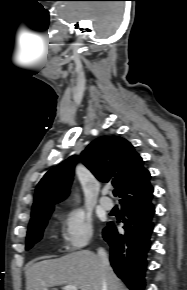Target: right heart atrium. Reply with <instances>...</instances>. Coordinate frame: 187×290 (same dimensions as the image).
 <instances>
[{"instance_id": "d8ad5b80", "label": "right heart atrium", "mask_w": 187, "mask_h": 290, "mask_svg": "<svg viewBox=\"0 0 187 290\" xmlns=\"http://www.w3.org/2000/svg\"><path fill=\"white\" fill-rule=\"evenodd\" d=\"M62 236L68 251H78L93 237L92 221L82 210L67 211L61 216Z\"/></svg>"}]
</instances>
